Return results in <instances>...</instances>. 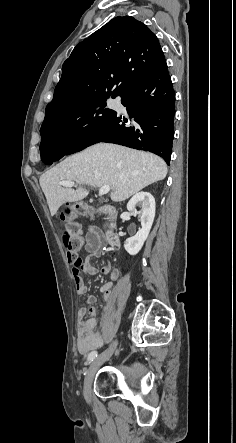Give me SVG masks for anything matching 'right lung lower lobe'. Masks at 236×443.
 Returning a JSON list of instances; mask_svg holds the SVG:
<instances>
[{"mask_svg": "<svg viewBox=\"0 0 236 443\" xmlns=\"http://www.w3.org/2000/svg\"><path fill=\"white\" fill-rule=\"evenodd\" d=\"M119 96L126 107L128 119L113 111L72 143L42 147L41 160L52 164L64 155L92 144L110 142L150 151L161 156L169 165L174 138L175 93L164 56Z\"/></svg>", "mask_w": 236, "mask_h": 443, "instance_id": "98d812e1", "label": "right lung lower lobe"}]
</instances>
